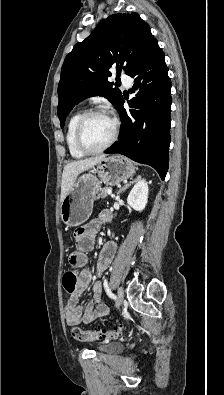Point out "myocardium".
<instances>
[{
  "mask_svg": "<svg viewBox=\"0 0 224 395\" xmlns=\"http://www.w3.org/2000/svg\"><path fill=\"white\" fill-rule=\"evenodd\" d=\"M106 115L108 116L112 122H113V132L110 137V139L101 147L96 148V149H91L89 148L83 140V128L86 123V121L93 115ZM119 128H120V123L118 119L112 115L108 110L100 107H95L91 108L87 111H85L81 117L79 118L77 125H76V131H75V141L77 147L85 154L92 155V154H98L101 153L105 150H107L109 147H111L115 141L117 140L118 134H119Z\"/></svg>",
  "mask_w": 224,
  "mask_h": 395,
  "instance_id": "f54148a6",
  "label": "myocardium"
}]
</instances>
